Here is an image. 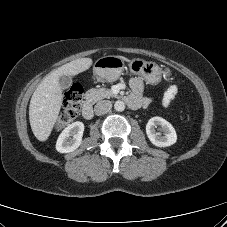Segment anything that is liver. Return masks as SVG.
Masks as SVG:
<instances>
[{"instance_id": "obj_1", "label": "liver", "mask_w": 227, "mask_h": 227, "mask_svg": "<svg viewBox=\"0 0 227 227\" xmlns=\"http://www.w3.org/2000/svg\"><path fill=\"white\" fill-rule=\"evenodd\" d=\"M123 60L127 58L120 56ZM91 58L71 61L47 75L34 91L29 106V121L34 136L39 141H46L57 121L62 105L63 95L59 83L62 75L75 76L88 70Z\"/></svg>"}]
</instances>
